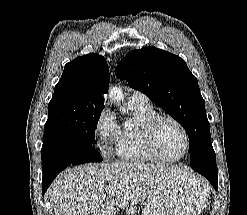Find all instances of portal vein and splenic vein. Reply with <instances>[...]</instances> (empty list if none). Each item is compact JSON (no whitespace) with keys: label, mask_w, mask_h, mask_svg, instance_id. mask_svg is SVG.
<instances>
[{"label":"portal vein and splenic vein","mask_w":247,"mask_h":215,"mask_svg":"<svg viewBox=\"0 0 247 215\" xmlns=\"http://www.w3.org/2000/svg\"><path fill=\"white\" fill-rule=\"evenodd\" d=\"M115 194H116V192H115V191H112V192H111V195H112V196H114Z\"/></svg>","instance_id":"obj_1"}]
</instances>
